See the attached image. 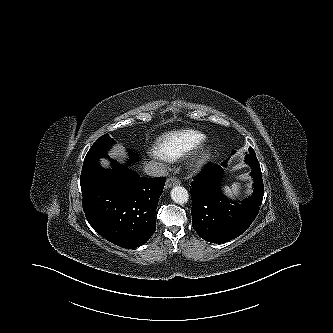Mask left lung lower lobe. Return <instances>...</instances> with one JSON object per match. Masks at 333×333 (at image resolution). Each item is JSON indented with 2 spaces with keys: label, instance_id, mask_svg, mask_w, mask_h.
I'll return each mask as SVG.
<instances>
[{
  "label": "left lung lower lobe",
  "instance_id": "0a47b994",
  "mask_svg": "<svg viewBox=\"0 0 333 333\" xmlns=\"http://www.w3.org/2000/svg\"><path fill=\"white\" fill-rule=\"evenodd\" d=\"M209 163L191 182L192 226L198 235L212 243H225L241 235L256 218L262 204L264 187L261 172L252 170L251 197L237 203L228 200L220 189L223 167ZM247 164L257 161L255 154L245 156Z\"/></svg>",
  "mask_w": 333,
  "mask_h": 333
}]
</instances>
